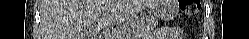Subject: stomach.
Wrapping results in <instances>:
<instances>
[{"mask_svg":"<svg viewBox=\"0 0 249 39\" xmlns=\"http://www.w3.org/2000/svg\"><path fill=\"white\" fill-rule=\"evenodd\" d=\"M150 9L154 16L164 20L174 18L178 12L176 0H155Z\"/></svg>","mask_w":249,"mask_h":39,"instance_id":"0dacf381","label":"stomach"}]
</instances>
